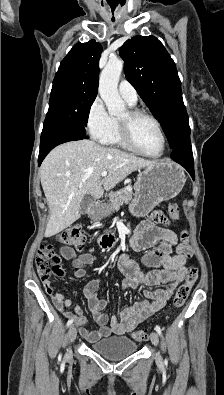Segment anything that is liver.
<instances>
[{
	"mask_svg": "<svg viewBox=\"0 0 224 395\" xmlns=\"http://www.w3.org/2000/svg\"><path fill=\"white\" fill-rule=\"evenodd\" d=\"M91 140L71 141L53 149L40 167V179L50 209L45 237L63 231L80 217L85 195L100 198L129 174L156 164ZM108 176L102 178V172Z\"/></svg>",
	"mask_w": 224,
	"mask_h": 395,
	"instance_id": "1",
	"label": "liver"
}]
</instances>
